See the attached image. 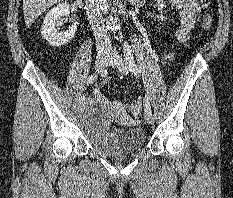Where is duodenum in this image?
Segmentation results:
<instances>
[{
    "mask_svg": "<svg viewBox=\"0 0 233 198\" xmlns=\"http://www.w3.org/2000/svg\"><path fill=\"white\" fill-rule=\"evenodd\" d=\"M135 4L139 3L140 0H133Z\"/></svg>",
    "mask_w": 233,
    "mask_h": 198,
    "instance_id": "1",
    "label": "duodenum"
}]
</instances>
